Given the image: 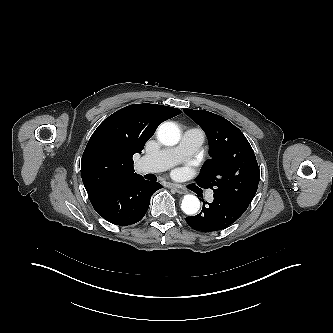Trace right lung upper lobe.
<instances>
[{
  "instance_id": "1",
  "label": "right lung upper lobe",
  "mask_w": 333,
  "mask_h": 333,
  "mask_svg": "<svg viewBox=\"0 0 333 333\" xmlns=\"http://www.w3.org/2000/svg\"><path fill=\"white\" fill-rule=\"evenodd\" d=\"M181 113L157 104H134L106 118L92 134L81 161V177L88 195L140 175L132 159L141 153L158 125Z\"/></svg>"
}]
</instances>
